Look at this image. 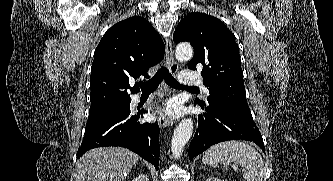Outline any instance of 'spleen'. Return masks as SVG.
<instances>
[{"label":"spleen","mask_w":333,"mask_h":181,"mask_svg":"<svg viewBox=\"0 0 333 181\" xmlns=\"http://www.w3.org/2000/svg\"><path fill=\"white\" fill-rule=\"evenodd\" d=\"M202 162L216 165L219 162L226 167L231 162L242 167L246 181H263L265 175L264 161L251 146L240 141H226L210 147L204 154Z\"/></svg>","instance_id":"1"}]
</instances>
